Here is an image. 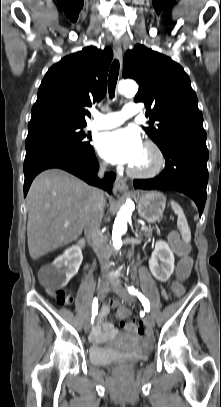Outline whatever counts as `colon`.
I'll return each mask as SVG.
<instances>
[{
    "instance_id": "1",
    "label": "colon",
    "mask_w": 221,
    "mask_h": 407,
    "mask_svg": "<svg viewBox=\"0 0 221 407\" xmlns=\"http://www.w3.org/2000/svg\"><path fill=\"white\" fill-rule=\"evenodd\" d=\"M170 242L174 250L182 255L181 260H179L175 268L177 281L171 286L173 298L179 301L188 288L186 279H190L191 277L193 271L192 264L195 262V257L194 255H187L191 245L183 242L177 234L170 236ZM48 293L61 305L68 304L72 300L71 295L66 291H48ZM129 310L127 305H119L117 307V316L119 321L122 322V327L127 330H132L133 336L137 337L143 333V327L138 326L137 320H133V315Z\"/></svg>"
}]
</instances>
